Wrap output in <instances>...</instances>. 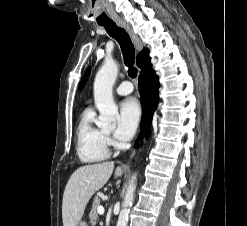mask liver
Segmentation results:
<instances>
[{
    "mask_svg": "<svg viewBox=\"0 0 247 226\" xmlns=\"http://www.w3.org/2000/svg\"><path fill=\"white\" fill-rule=\"evenodd\" d=\"M113 170V162H103L84 165L74 171L63 194V226H76L81 221L90 198L106 184ZM122 173V168L117 167L115 177Z\"/></svg>",
    "mask_w": 247,
    "mask_h": 226,
    "instance_id": "6515ba94",
    "label": "liver"
}]
</instances>
